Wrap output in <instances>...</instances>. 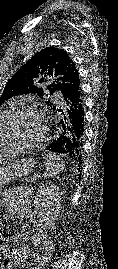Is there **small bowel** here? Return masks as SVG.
Here are the masks:
<instances>
[{"instance_id": "obj_1", "label": "small bowel", "mask_w": 118, "mask_h": 269, "mask_svg": "<svg viewBox=\"0 0 118 269\" xmlns=\"http://www.w3.org/2000/svg\"><path fill=\"white\" fill-rule=\"evenodd\" d=\"M30 198V194L9 198L6 210L7 217L12 219L19 214L27 215ZM47 239V234L41 230L38 224H36L35 230L17 234L13 237L14 242L17 244L30 240L34 245L41 247L43 250H46ZM0 256L4 257L0 264V269H10L13 264L19 265L29 259L27 248L20 247L19 249L10 250L2 241H0Z\"/></svg>"}]
</instances>
